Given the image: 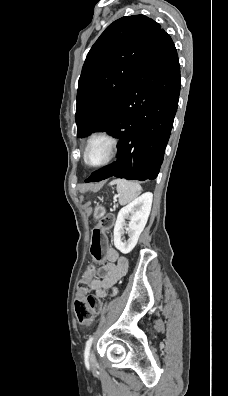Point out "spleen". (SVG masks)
Wrapping results in <instances>:
<instances>
[{"instance_id":"3e777b00","label":"spleen","mask_w":228,"mask_h":396,"mask_svg":"<svg viewBox=\"0 0 228 396\" xmlns=\"http://www.w3.org/2000/svg\"><path fill=\"white\" fill-rule=\"evenodd\" d=\"M112 184H116L117 192L119 195V203L126 205L134 200L141 192L142 188L140 184L125 179H115Z\"/></svg>"}]
</instances>
